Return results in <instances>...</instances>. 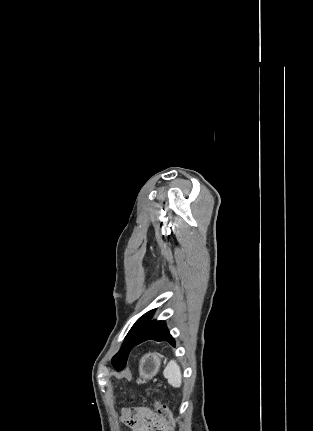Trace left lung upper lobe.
<instances>
[{
	"label": "left lung upper lobe",
	"instance_id": "5c2ea615",
	"mask_svg": "<svg viewBox=\"0 0 313 431\" xmlns=\"http://www.w3.org/2000/svg\"><path fill=\"white\" fill-rule=\"evenodd\" d=\"M156 309H153L147 313H145L143 316H141L135 324L132 326L130 331L128 332L125 342L120 349V351L112 358V364L116 369H123L125 366L128 355L132 349V343L135 340V338L138 336L142 328L147 324V322L150 320V318L153 316Z\"/></svg>",
	"mask_w": 313,
	"mask_h": 431
}]
</instances>
